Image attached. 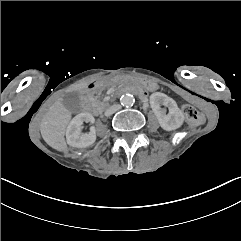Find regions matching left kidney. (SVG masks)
I'll return each mask as SVG.
<instances>
[{
    "mask_svg": "<svg viewBox=\"0 0 241 241\" xmlns=\"http://www.w3.org/2000/svg\"><path fill=\"white\" fill-rule=\"evenodd\" d=\"M150 105L156 115L160 126L167 131L175 130L179 128L184 121V115L178 108L176 102L161 92H155L150 96ZM164 105L169 109V113L166 114L165 109L160 106Z\"/></svg>",
    "mask_w": 241,
    "mask_h": 241,
    "instance_id": "left-kidney-1",
    "label": "left kidney"
}]
</instances>
